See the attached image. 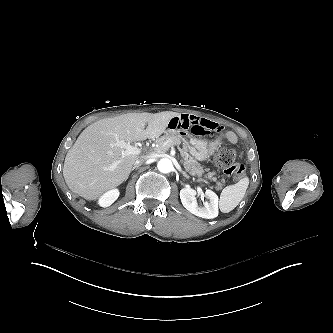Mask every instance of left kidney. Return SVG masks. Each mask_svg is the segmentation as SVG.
Here are the masks:
<instances>
[{
	"instance_id": "1",
	"label": "left kidney",
	"mask_w": 333,
	"mask_h": 333,
	"mask_svg": "<svg viewBox=\"0 0 333 333\" xmlns=\"http://www.w3.org/2000/svg\"><path fill=\"white\" fill-rule=\"evenodd\" d=\"M205 195L208 197L209 202H205L203 207H199L196 200V191L192 188H183L180 191V199L183 206L192 214L206 218L213 219L218 216V196L212 190H206Z\"/></svg>"
}]
</instances>
